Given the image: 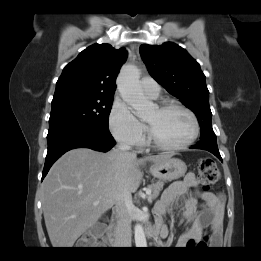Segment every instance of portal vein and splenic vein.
Returning <instances> with one entry per match:
<instances>
[{
  "label": "portal vein and splenic vein",
  "mask_w": 261,
  "mask_h": 261,
  "mask_svg": "<svg viewBox=\"0 0 261 261\" xmlns=\"http://www.w3.org/2000/svg\"><path fill=\"white\" fill-rule=\"evenodd\" d=\"M146 194L149 196L148 197V201L151 203L152 201H151V197H150V195H151V190L148 188V189H146Z\"/></svg>",
  "instance_id": "portal-vein-and-splenic-vein-1"
}]
</instances>
